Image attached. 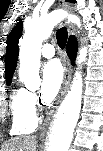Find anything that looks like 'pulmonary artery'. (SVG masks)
Instances as JSON below:
<instances>
[{
  "label": "pulmonary artery",
  "instance_id": "1",
  "mask_svg": "<svg viewBox=\"0 0 103 151\" xmlns=\"http://www.w3.org/2000/svg\"><path fill=\"white\" fill-rule=\"evenodd\" d=\"M41 54L45 58H52L55 55V48L52 44H45L42 47Z\"/></svg>",
  "mask_w": 103,
  "mask_h": 151
}]
</instances>
